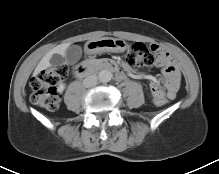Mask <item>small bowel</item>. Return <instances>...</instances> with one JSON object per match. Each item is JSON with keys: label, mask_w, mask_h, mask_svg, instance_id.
Instances as JSON below:
<instances>
[{"label": "small bowel", "mask_w": 219, "mask_h": 174, "mask_svg": "<svg viewBox=\"0 0 219 174\" xmlns=\"http://www.w3.org/2000/svg\"><path fill=\"white\" fill-rule=\"evenodd\" d=\"M151 48L156 53V65L162 68L166 85V87H163L159 83H154L151 86V91L154 95L160 98L169 97V99H174L180 82L179 69L174 63L172 56L166 50L154 44L151 45ZM124 77L125 75L122 71H120L117 75L118 80H122Z\"/></svg>", "instance_id": "small-bowel-1"}]
</instances>
